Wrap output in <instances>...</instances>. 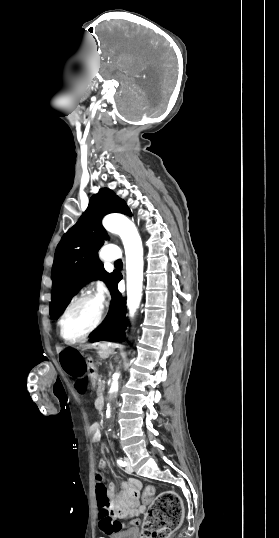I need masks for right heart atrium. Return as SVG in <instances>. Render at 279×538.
<instances>
[{"instance_id":"right-heart-atrium-1","label":"right heart atrium","mask_w":279,"mask_h":538,"mask_svg":"<svg viewBox=\"0 0 279 538\" xmlns=\"http://www.w3.org/2000/svg\"><path fill=\"white\" fill-rule=\"evenodd\" d=\"M116 233H117V234H118L119 236H121V237H124V235H123L122 233H120V232H116ZM128 238H129V240H130V242H131V243H133V242H134V239H133V237H131V236H128Z\"/></svg>"}]
</instances>
